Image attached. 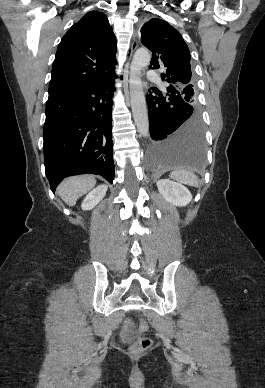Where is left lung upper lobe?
I'll list each match as a JSON object with an SVG mask.
<instances>
[{"mask_svg": "<svg viewBox=\"0 0 265 388\" xmlns=\"http://www.w3.org/2000/svg\"><path fill=\"white\" fill-rule=\"evenodd\" d=\"M141 42L152 52L150 68H165L162 80L177 90L184 101L197 108L190 68V52L181 34L162 19L153 18L141 28Z\"/></svg>", "mask_w": 265, "mask_h": 388, "instance_id": "5c2ea615", "label": "left lung upper lobe"}]
</instances>
